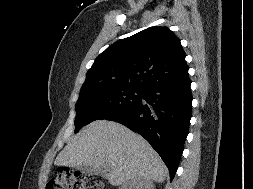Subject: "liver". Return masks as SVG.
I'll use <instances>...</instances> for the list:
<instances>
[{
  "label": "liver",
  "mask_w": 253,
  "mask_h": 189,
  "mask_svg": "<svg viewBox=\"0 0 253 189\" xmlns=\"http://www.w3.org/2000/svg\"><path fill=\"white\" fill-rule=\"evenodd\" d=\"M57 166L103 169L113 186L135 178L163 182L168 170L158 153L140 135L125 126L98 120L83 128L58 154Z\"/></svg>",
  "instance_id": "liver-1"
}]
</instances>
